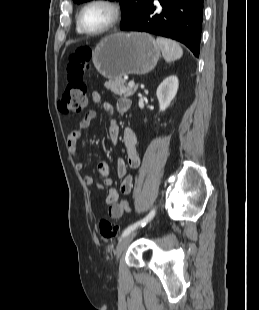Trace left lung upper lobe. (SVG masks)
Wrapping results in <instances>:
<instances>
[{"instance_id": "5c2ea615", "label": "left lung upper lobe", "mask_w": 259, "mask_h": 310, "mask_svg": "<svg viewBox=\"0 0 259 310\" xmlns=\"http://www.w3.org/2000/svg\"><path fill=\"white\" fill-rule=\"evenodd\" d=\"M75 3H83L90 0H73ZM113 1V0H110ZM120 1L123 8V20L121 25H124L136 17H138L150 0H116Z\"/></svg>"}]
</instances>
